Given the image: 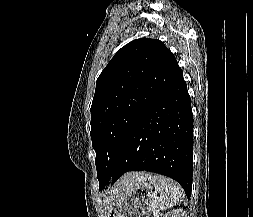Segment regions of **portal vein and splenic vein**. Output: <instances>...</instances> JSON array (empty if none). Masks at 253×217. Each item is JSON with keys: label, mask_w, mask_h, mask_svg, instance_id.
Masks as SVG:
<instances>
[{"label": "portal vein and splenic vein", "mask_w": 253, "mask_h": 217, "mask_svg": "<svg viewBox=\"0 0 253 217\" xmlns=\"http://www.w3.org/2000/svg\"><path fill=\"white\" fill-rule=\"evenodd\" d=\"M158 214V211H154V215H157Z\"/></svg>", "instance_id": "18ae733b"}]
</instances>
